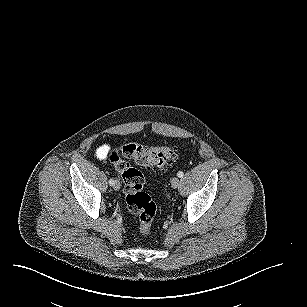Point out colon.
<instances>
[{
    "instance_id": "5ec220e1",
    "label": "colon",
    "mask_w": 307,
    "mask_h": 307,
    "mask_svg": "<svg viewBox=\"0 0 307 307\" xmlns=\"http://www.w3.org/2000/svg\"><path fill=\"white\" fill-rule=\"evenodd\" d=\"M175 158L171 146L148 147L135 142L127 143L110 154V161L124 182L126 204L130 212L139 217V230L149 235L157 207L151 197L143 191L144 177L127 160L146 167L166 168Z\"/></svg>"
}]
</instances>
